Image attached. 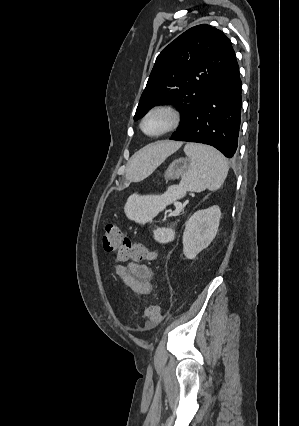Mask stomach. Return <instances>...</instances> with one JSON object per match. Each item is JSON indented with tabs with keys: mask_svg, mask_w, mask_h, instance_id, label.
I'll use <instances>...</instances> for the list:
<instances>
[{
	"mask_svg": "<svg viewBox=\"0 0 299 426\" xmlns=\"http://www.w3.org/2000/svg\"><path fill=\"white\" fill-rule=\"evenodd\" d=\"M189 168L190 161L188 158H180L173 161L165 172L166 181L182 177L188 171Z\"/></svg>",
	"mask_w": 299,
	"mask_h": 426,
	"instance_id": "1",
	"label": "stomach"
}]
</instances>
